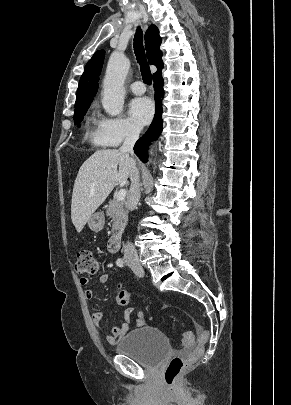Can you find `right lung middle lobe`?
Listing matches in <instances>:
<instances>
[{
	"instance_id": "right-lung-middle-lobe-1",
	"label": "right lung middle lobe",
	"mask_w": 291,
	"mask_h": 405,
	"mask_svg": "<svg viewBox=\"0 0 291 405\" xmlns=\"http://www.w3.org/2000/svg\"><path fill=\"white\" fill-rule=\"evenodd\" d=\"M86 111H87V108L76 110L74 112V124L75 125L79 124L83 120V117L86 114Z\"/></svg>"
}]
</instances>
